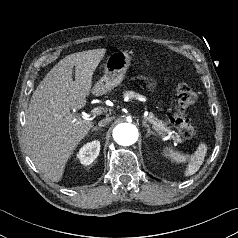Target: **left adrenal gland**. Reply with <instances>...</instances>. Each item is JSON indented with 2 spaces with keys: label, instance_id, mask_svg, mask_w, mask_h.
<instances>
[{
  "label": "left adrenal gland",
  "instance_id": "left-adrenal-gland-1",
  "mask_svg": "<svg viewBox=\"0 0 238 238\" xmlns=\"http://www.w3.org/2000/svg\"><path fill=\"white\" fill-rule=\"evenodd\" d=\"M142 124H143L144 127L147 128V135H146L147 137L150 136V135H154V134H155V133L151 130L149 124H148L145 120H143Z\"/></svg>",
  "mask_w": 238,
  "mask_h": 238
}]
</instances>
